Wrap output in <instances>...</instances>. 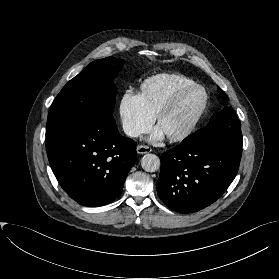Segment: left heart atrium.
I'll return each instance as SVG.
<instances>
[{
    "label": "left heart atrium",
    "instance_id": "39dd6f15",
    "mask_svg": "<svg viewBox=\"0 0 279 279\" xmlns=\"http://www.w3.org/2000/svg\"><path fill=\"white\" fill-rule=\"evenodd\" d=\"M164 136V132L159 127H157L153 130L149 140L156 143L163 140Z\"/></svg>",
    "mask_w": 279,
    "mask_h": 279
}]
</instances>
